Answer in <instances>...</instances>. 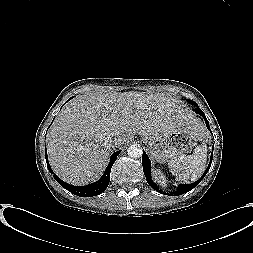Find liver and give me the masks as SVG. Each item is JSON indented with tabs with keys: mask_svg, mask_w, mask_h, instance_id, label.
<instances>
[{
	"mask_svg": "<svg viewBox=\"0 0 253 253\" xmlns=\"http://www.w3.org/2000/svg\"><path fill=\"white\" fill-rule=\"evenodd\" d=\"M179 128L201 137L206 134L203 122L169 94L85 93L67 103L49 129V163L59 178L82 186L104 172L115 149L111 135H120L124 146L135 134L156 135Z\"/></svg>",
	"mask_w": 253,
	"mask_h": 253,
	"instance_id": "1",
	"label": "liver"
}]
</instances>
